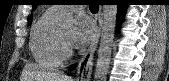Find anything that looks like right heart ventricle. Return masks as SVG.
Returning <instances> with one entry per match:
<instances>
[{
  "label": "right heart ventricle",
  "mask_w": 169,
  "mask_h": 81,
  "mask_svg": "<svg viewBox=\"0 0 169 81\" xmlns=\"http://www.w3.org/2000/svg\"><path fill=\"white\" fill-rule=\"evenodd\" d=\"M58 12L48 9L31 30L30 50L35 61L43 67L55 68L62 61L55 21Z\"/></svg>",
  "instance_id": "1"
}]
</instances>
